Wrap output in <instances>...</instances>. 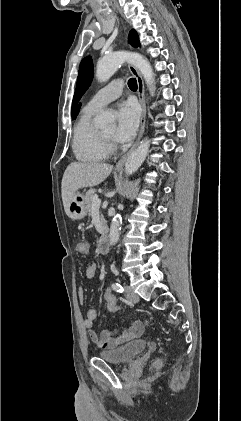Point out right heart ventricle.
Returning <instances> with one entry per match:
<instances>
[{"label":"right heart ventricle","mask_w":241,"mask_h":421,"mask_svg":"<svg viewBox=\"0 0 241 421\" xmlns=\"http://www.w3.org/2000/svg\"><path fill=\"white\" fill-rule=\"evenodd\" d=\"M96 109L84 107L74 128L72 148L76 158L83 162L104 161L110 149L102 137V132L93 124Z\"/></svg>","instance_id":"1"}]
</instances>
